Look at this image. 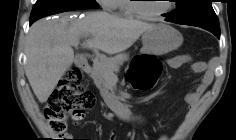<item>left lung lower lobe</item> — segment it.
Listing matches in <instances>:
<instances>
[{"label":"left lung lower lobe","mask_w":236,"mask_h":140,"mask_svg":"<svg viewBox=\"0 0 236 140\" xmlns=\"http://www.w3.org/2000/svg\"><path fill=\"white\" fill-rule=\"evenodd\" d=\"M166 21H169L168 19H166ZM170 22V21H169ZM215 36H217L218 38H220V34H217V35H215Z\"/></svg>","instance_id":"obj_1"}]
</instances>
